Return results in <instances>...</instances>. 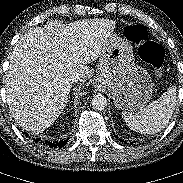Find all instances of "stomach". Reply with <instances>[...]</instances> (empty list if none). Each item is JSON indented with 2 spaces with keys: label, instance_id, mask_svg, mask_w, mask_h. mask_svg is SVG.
I'll use <instances>...</instances> for the list:
<instances>
[{
  "label": "stomach",
  "instance_id": "0dacf381",
  "mask_svg": "<svg viewBox=\"0 0 183 183\" xmlns=\"http://www.w3.org/2000/svg\"><path fill=\"white\" fill-rule=\"evenodd\" d=\"M96 83L109 91L116 108L125 111L142 109L153 90L149 73L135 65L131 43L115 33L109 36L99 56Z\"/></svg>",
  "mask_w": 183,
  "mask_h": 183
}]
</instances>
